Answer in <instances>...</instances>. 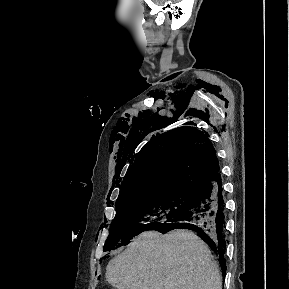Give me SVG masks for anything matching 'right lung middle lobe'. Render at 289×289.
<instances>
[{
	"instance_id": "right-lung-middle-lobe-1",
	"label": "right lung middle lobe",
	"mask_w": 289,
	"mask_h": 289,
	"mask_svg": "<svg viewBox=\"0 0 289 289\" xmlns=\"http://www.w3.org/2000/svg\"><path fill=\"white\" fill-rule=\"evenodd\" d=\"M195 197L194 192L178 190L135 196L116 203V216L104 251L124 245L144 231L157 230L169 220L185 214Z\"/></svg>"
}]
</instances>
